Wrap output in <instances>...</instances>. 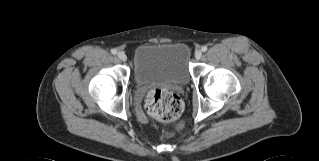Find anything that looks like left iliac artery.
<instances>
[{"label": "left iliac artery", "instance_id": "obj_1", "mask_svg": "<svg viewBox=\"0 0 319 161\" xmlns=\"http://www.w3.org/2000/svg\"><path fill=\"white\" fill-rule=\"evenodd\" d=\"M202 51H203V52L207 51V47H206V46H203V47H202Z\"/></svg>", "mask_w": 319, "mask_h": 161}]
</instances>
